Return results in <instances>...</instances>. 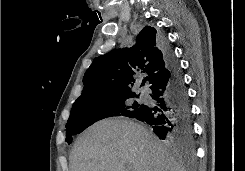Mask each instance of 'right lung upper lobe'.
<instances>
[{
    "instance_id": "right-lung-upper-lobe-1",
    "label": "right lung upper lobe",
    "mask_w": 245,
    "mask_h": 171,
    "mask_svg": "<svg viewBox=\"0 0 245 171\" xmlns=\"http://www.w3.org/2000/svg\"><path fill=\"white\" fill-rule=\"evenodd\" d=\"M147 73L142 86L167 76L168 68L155 28L145 26L131 48L114 49L93 60L83 77L84 88L76 101L135 94L131 87L137 73ZM75 101V102H76Z\"/></svg>"
}]
</instances>
